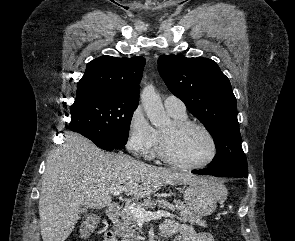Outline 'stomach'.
I'll return each mask as SVG.
<instances>
[{"label": "stomach", "mask_w": 295, "mask_h": 241, "mask_svg": "<svg viewBox=\"0 0 295 241\" xmlns=\"http://www.w3.org/2000/svg\"><path fill=\"white\" fill-rule=\"evenodd\" d=\"M226 197V187L214 179L189 183L184 192L187 208L200 217L212 214L217 204L224 202Z\"/></svg>", "instance_id": "stomach-1"}]
</instances>
